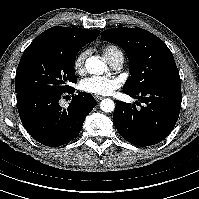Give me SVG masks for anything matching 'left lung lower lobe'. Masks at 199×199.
Masks as SVG:
<instances>
[{
    "label": "left lung lower lobe",
    "instance_id": "obj_1",
    "mask_svg": "<svg viewBox=\"0 0 199 199\" xmlns=\"http://www.w3.org/2000/svg\"><path fill=\"white\" fill-rule=\"evenodd\" d=\"M123 92L144 103L137 110L134 104L116 101L113 122L125 140L146 147L170 134L181 108V83L153 86L139 93Z\"/></svg>",
    "mask_w": 199,
    "mask_h": 199
}]
</instances>
